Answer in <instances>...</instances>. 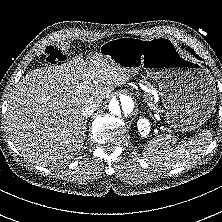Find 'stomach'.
<instances>
[{"instance_id":"stomach-1","label":"stomach","mask_w":222,"mask_h":222,"mask_svg":"<svg viewBox=\"0 0 222 222\" xmlns=\"http://www.w3.org/2000/svg\"><path fill=\"white\" fill-rule=\"evenodd\" d=\"M99 54L130 72L143 67L158 83L166 123L177 130H194L209 119L216 103L213 77L198 61L186 57L173 39L116 38L103 43Z\"/></svg>"}]
</instances>
